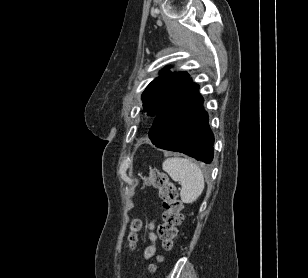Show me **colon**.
I'll list each match as a JSON object with an SVG mask.
<instances>
[{
	"label": "colon",
	"mask_w": 308,
	"mask_h": 278,
	"mask_svg": "<svg viewBox=\"0 0 308 278\" xmlns=\"http://www.w3.org/2000/svg\"><path fill=\"white\" fill-rule=\"evenodd\" d=\"M146 185L158 190L159 197L162 200L163 222L158 226L157 235L165 250L173 247L174 240L177 237L178 227L182 223V202L178 198V192L167 175L157 169L150 170L145 176ZM141 229V222L137 219L130 224L128 242L134 247L137 242V233ZM154 267H151L153 270Z\"/></svg>",
	"instance_id": "1"
}]
</instances>
